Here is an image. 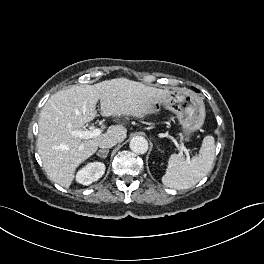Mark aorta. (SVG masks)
<instances>
[{
    "label": "aorta",
    "instance_id": "762f6f07",
    "mask_svg": "<svg viewBox=\"0 0 264 264\" xmlns=\"http://www.w3.org/2000/svg\"><path fill=\"white\" fill-rule=\"evenodd\" d=\"M130 149L137 154H144L148 151V142L142 136L133 137L130 141Z\"/></svg>",
    "mask_w": 264,
    "mask_h": 264
}]
</instances>
